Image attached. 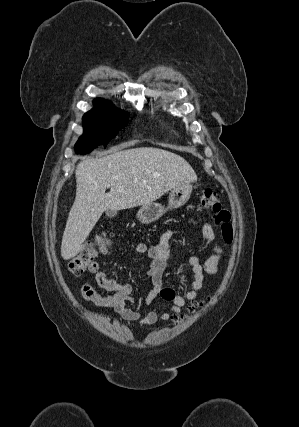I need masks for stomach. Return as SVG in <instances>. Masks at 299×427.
<instances>
[{"label": "stomach", "instance_id": "obj_1", "mask_svg": "<svg viewBox=\"0 0 299 427\" xmlns=\"http://www.w3.org/2000/svg\"><path fill=\"white\" fill-rule=\"evenodd\" d=\"M192 193V185L189 183L176 186L170 190L168 206L164 208L161 204L151 202L142 205L137 212V218L143 224H149L158 220L169 209L182 207L189 200Z\"/></svg>", "mask_w": 299, "mask_h": 427}]
</instances>
